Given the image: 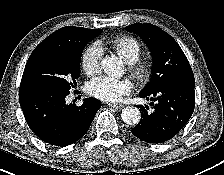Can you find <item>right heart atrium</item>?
Returning <instances> with one entry per match:
<instances>
[{
	"label": "right heart atrium",
	"mask_w": 224,
	"mask_h": 175,
	"mask_svg": "<svg viewBox=\"0 0 224 175\" xmlns=\"http://www.w3.org/2000/svg\"><path fill=\"white\" fill-rule=\"evenodd\" d=\"M103 52L99 44L89 45L82 54L81 65L87 75H95L100 70Z\"/></svg>",
	"instance_id": "1"
}]
</instances>
